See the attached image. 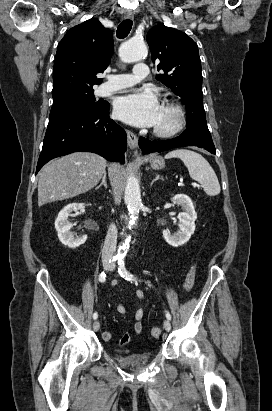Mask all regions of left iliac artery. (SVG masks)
Returning a JSON list of instances; mask_svg holds the SVG:
<instances>
[{
    "mask_svg": "<svg viewBox=\"0 0 272 411\" xmlns=\"http://www.w3.org/2000/svg\"><path fill=\"white\" fill-rule=\"evenodd\" d=\"M118 265H119V268H118L119 274H120L123 278H125L126 280H129V281L136 280V279L134 278V276L127 271V269H126V267H125V263H124V259H123V258L118 259ZM148 284H149V283H148ZM149 285H150V284H149ZM165 313H166V318H167L168 320H171V315H170L169 311H166Z\"/></svg>",
    "mask_w": 272,
    "mask_h": 411,
    "instance_id": "44dca946",
    "label": "left iliac artery"
}]
</instances>
